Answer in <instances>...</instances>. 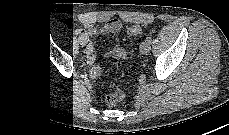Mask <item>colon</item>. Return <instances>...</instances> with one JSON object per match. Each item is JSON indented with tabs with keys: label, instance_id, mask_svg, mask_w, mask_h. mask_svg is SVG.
<instances>
[{
	"label": "colon",
	"instance_id": "obj_1",
	"mask_svg": "<svg viewBox=\"0 0 229 135\" xmlns=\"http://www.w3.org/2000/svg\"><path fill=\"white\" fill-rule=\"evenodd\" d=\"M140 32V28L138 26H130V27H127L126 29V33L129 35V36H136L137 34H139ZM89 60H90V72L91 74L94 76V77H99L101 75V67L100 65H98L97 63H95V55L93 52H91L90 56H89ZM110 103H116L117 99L116 98H113L111 97L109 99Z\"/></svg>",
	"mask_w": 229,
	"mask_h": 135
}]
</instances>
